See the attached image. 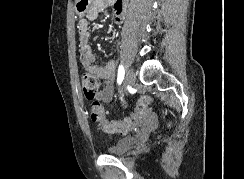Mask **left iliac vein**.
<instances>
[{
  "label": "left iliac vein",
  "instance_id": "left-iliac-vein-1",
  "mask_svg": "<svg viewBox=\"0 0 244 179\" xmlns=\"http://www.w3.org/2000/svg\"><path fill=\"white\" fill-rule=\"evenodd\" d=\"M136 75L135 72L132 69H128L126 72V85L133 86L135 83ZM127 89H124V92H126Z\"/></svg>",
  "mask_w": 244,
  "mask_h": 179
}]
</instances>
